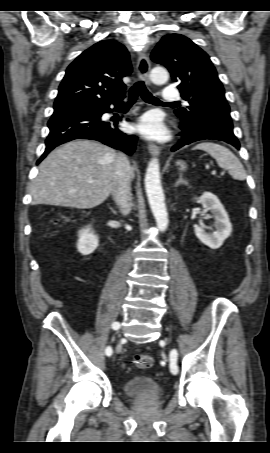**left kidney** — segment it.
<instances>
[{
  "label": "left kidney",
  "mask_w": 270,
  "mask_h": 453,
  "mask_svg": "<svg viewBox=\"0 0 270 453\" xmlns=\"http://www.w3.org/2000/svg\"><path fill=\"white\" fill-rule=\"evenodd\" d=\"M196 200L202 204L203 208L211 211L214 217L215 231L206 232L203 225L195 226L194 232L197 238L211 249H218L232 232V224L228 214L217 196L210 192H205Z\"/></svg>",
  "instance_id": "left-kidney-1"
}]
</instances>
